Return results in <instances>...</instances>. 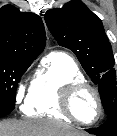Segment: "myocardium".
<instances>
[{
    "instance_id": "f54148a6",
    "label": "myocardium",
    "mask_w": 117,
    "mask_h": 136,
    "mask_svg": "<svg viewBox=\"0 0 117 136\" xmlns=\"http://www.w3.org/2000/svg\"><path fill=\"white\" fill-rule=\"evenodd\" d=\"M83 92H91L96 99L98 112L96 118L92 121H84L80 119L74 110L75 100L77 96L82 94ZM60 105L61 110L66 116H68L73 121L83 125H92L97 123L103 113V103L98 90L85 81L74 82L66 86L61 93Z\"/></svg>"
}]
</instances>
